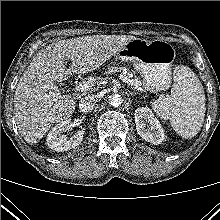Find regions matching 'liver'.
I'll return each instance as SVG.
<instances>
[{"mask_svg":"<svg viewBox=\"0 0 220 220\" xmlns=\"http://www.w3.org/2000/svg\"><path fill=\"white\" fill-rule=\"evenodd\" d=\"M126 35H94L60 40L41 50L20 78L14 96L18 129L29 144L38 143L54 124L75 111L76 98L61 95L56 82L72 73L93 72L135 39ZM66 60H70L66 68Z\"/></svg>","mask_w":220,"mask_h":220,"instance_id":"6515ba94","label":"liver"}]
</instances>
